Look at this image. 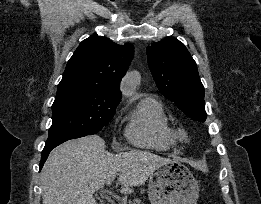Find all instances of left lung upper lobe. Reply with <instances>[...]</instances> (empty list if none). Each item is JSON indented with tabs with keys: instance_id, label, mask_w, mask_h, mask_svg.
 I'll use <instances>...</instances> for the list:
<instances>
[{
	"instance_id": "left-lung-upper-lobe-1",
	"label": "left lung upper lobe",
	"mask_w": 261,
	"mask_h": 204,
	"mask_svg": "<svg viewBox=\"0 0 261 204\" xmlns=\"http://www.w3.org/2000/svg\"><path fill=\"white\" fill-rule=\"evenodd\" d=\"M146 53L159 91L194 121H205L204 87L185 45L168 38L148 46Z\"/></svg>"
}]
</instances>
